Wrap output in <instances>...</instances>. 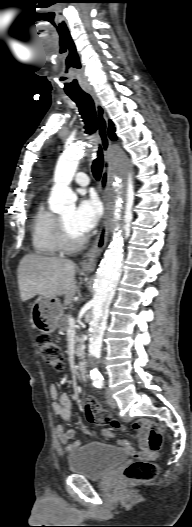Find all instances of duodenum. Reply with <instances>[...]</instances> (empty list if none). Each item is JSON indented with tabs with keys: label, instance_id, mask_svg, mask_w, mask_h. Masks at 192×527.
<instances>
[{
	"label": "duodenum",
	"instance_id": "410a0bca",
	"mask_svg": "<svg viewBox=\"0 0 192 527\" xmlns=\"http://www.w3.org/2000/svg\"><path fill=\"white\" fill-rule=\"evenodd\" d=\"M78 373L83 380L87 378V364L85 361L79 362Z\"/></svg>",
	"mask_w": 192,
	"mask_h": 527
}]
</instances>
